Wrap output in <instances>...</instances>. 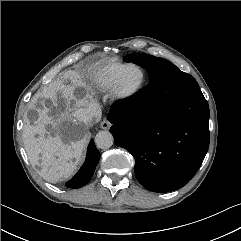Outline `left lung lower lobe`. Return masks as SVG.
<instances>
[{
	"instance_id": "0a47b994",
	"label": "left lung lower lobe",
	"mask_w": 241,
	"mask_h": 241,
	"mask_svg": "<svg viewBox=\"0 0 241 241\" xmlns=\"http://www.w3.org/2000/svg\"><path fill=\"white\" fill-rule=\"evenodd\" d=\"M107 118L114 143L133 155L136 178L150 191L164 193L186 185L209 147V106L201 90L174 99L160 75L115 103Z\"/></svg>"
}]
</instances>
